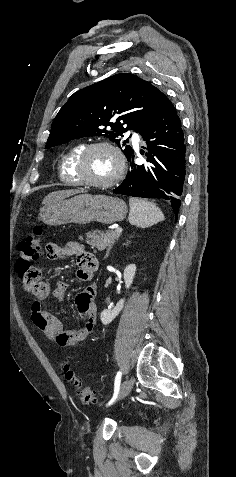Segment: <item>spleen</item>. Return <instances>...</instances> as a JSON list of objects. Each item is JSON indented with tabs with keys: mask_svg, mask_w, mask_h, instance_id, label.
Here are the masks:
<instances>
[{
	"mask_svg": "<svg viewBox=\"0 0 236 477\" xmlns=\"http://www.w3.org/2000/svg\"><path fill=\"white\" fill-rule=\"evenodd\" d=\"M129 206V222L134 226L148 228L165 219L162 211L146 200L130 198Z\"/></svg>",
	"mask_w": 236,
	"mask_h": 477,
	"instance_id": "spleen-1",
	"label": "spleen"
}]
</instances>
